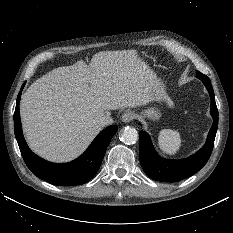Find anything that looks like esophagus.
Returning a JSON list of instances; mask_svg holds the SVG:
<instances>
[{
    "instance_id": "1",
    "label": "esophagus",
    "mask_w": 233,
    "mask_h": 233,
    "mask_svg": "<svg viewBox=\"0 0 233 233\" xmlns=\"http://www.w3.org/2000/svg\"><path fill=\"white\" fill-rule=\"evenodd\" d=\"M133 118H134V113L132 111H129V110L125 111L121 116V120L124 123H128V122L132 121Z\"/></svg>"
}]
</instances>
